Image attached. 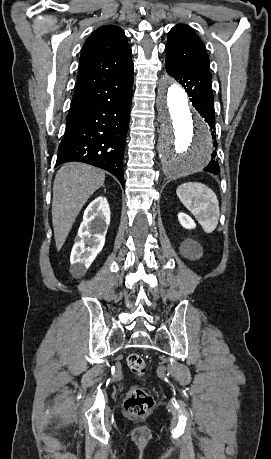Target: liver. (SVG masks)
<instances>
[{"label": "liver", "mask_w": 271, "mask_h": 459, "mask_svg": "<svg viewBox=\"0 0 271 459\" xmlns=\"http://www.w3.org/2000/svg\"><path fill=\"white\" fill-rule=\"evenodd\" d=\"M105 174L99 168L68 162L58 170L53 186L52 222L57 251L61 249L81 208L101 188Z\"/></svg>", "instance_id": "6515ba94"}]
</instances>
